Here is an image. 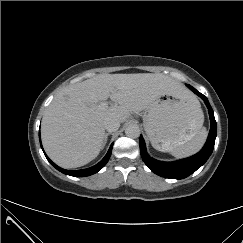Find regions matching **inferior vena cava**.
Segmentation results:
<instances>
[{
    "mask_svg": "<svg viewBox=\"0 0 243 243\" xmlns=\"http://www.w3.org/2000/svg\"><path fill=\"white\" fill-rule=\"evenodd\" d=\"M120 127V122L117 119L109 118L104 122V128L108 132H114Z\"/></svg>",
    "mask_w": 243,
    "mask_h": 243,
    "instance_id": "1",
    "label": "inferior vena cava"
}]
</instances>
